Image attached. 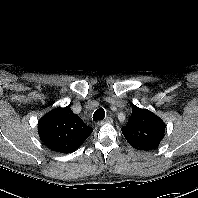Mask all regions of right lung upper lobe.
<instances>
[{"label":"right lung upper lobe","mask_w":198,"mask_h":198,"mask_svg":"<svg viewBox=\"0 0 198 198\" xmlns=\"http://www.w3.org/2000/svg\"><path fill=\"white\" fill-rule=\"evenodd\" d=\"M39 137L51 150L75 151L93 132L69 106L45 114L38 123Z\"/></svg>","instance_id":"1"}]
</instances>
